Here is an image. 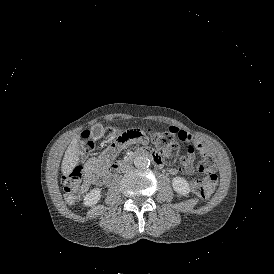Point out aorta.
Returning a JSON list of instances; mask_svg holds the SVG:
<instances>
[{"label":"aorta","instance_id":"762f6f07","mask_svg":"<svg viewBox=\"0 0 274 274\" xmlns=\"http://www.w3.org/2000/svg\"><path fill=\"white\" fill-rule=\"evenodd\" d=\"M134 165L139 169H145L149 167L150 160L148 159V157L140 155L134 159Z\"/></svg>","mask_w":274,"mask_h":274}]
</instances>
